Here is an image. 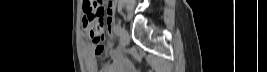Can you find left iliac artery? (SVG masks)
Wrapping results in <instances>:
<instances>
[{
  "label": "left iliac artery",
  "mask_w": 267,
  "mask_h": 72,
  "mask_svg": "<svg viewBox=\"0 0 267 72\" xmlns=\"http://www.w3.org/2000/svg\"><path fill=\"white\" fill-rule=\"evenodd\" d=\"M113 31L117 36H119L121 34V27L119 25L115 24L113 26Z\"/></svg>",
  "instance_id": "1"
}]
</instances>
